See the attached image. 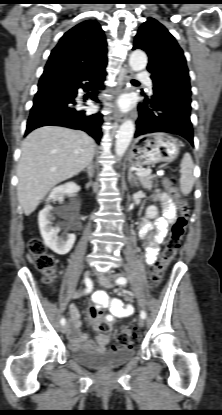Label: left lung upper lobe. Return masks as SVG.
<instances>
[{"label":"left lung upper lobe","mask_w":222,"mask_h":415,"mask_svg":"<svg viewBox=\"0 0 222 415\" xmlns=\"http://www.w3.org/2000/svg\"><path fill=\"white\" fill-rule=\"evenodd\" d=\"M134 49H142L147 53L149 57L147 70L151 73L152 79L166 72L188 74L182 49L172 34L153 18L149 17L141 25L135 36Z\"/></svg>","instance_id":"5c2ea615"}]
</instances>
